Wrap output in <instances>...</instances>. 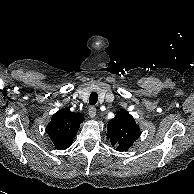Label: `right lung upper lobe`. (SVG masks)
<instances>
[{"mask_svg": "<svg viewBox=\"0 0 194 194\" xmlns=\"http://www.w3.org/2000/svg\"><path fill=\"white\" fill-rule=\"evenodd\" d=\"M82 114L63 108L56 112L47 126V133L58 150L67 149L83 122Z\"/></svg>", "mask_w": 194, "mask_h": 194, "instance_id": "obj_1", "label": "right lung upper lobe"}]
</instances>
